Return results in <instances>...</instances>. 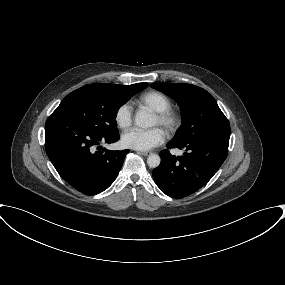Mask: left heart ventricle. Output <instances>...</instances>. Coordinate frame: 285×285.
Listing matches in <instances>:
<instances>
[{
	"instance_id": "1",
	"label": "left heart ventricle",
	"mask_w": 285,
	"mask_h": 285,
	"mask_svg": "<svg viewBox=\"0 0 285 285\" xmlns=\"http://www.w3.org/2000/svg\"><path fill=\"white\" fill-rule=\"evenodd\" d=\"M152 125H159V121L156 116L153 118Z\"/></svg>"
}]
</instances>
